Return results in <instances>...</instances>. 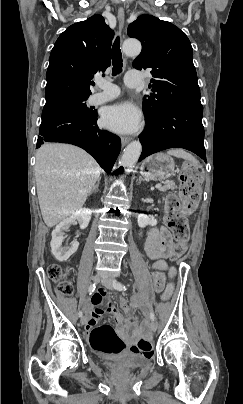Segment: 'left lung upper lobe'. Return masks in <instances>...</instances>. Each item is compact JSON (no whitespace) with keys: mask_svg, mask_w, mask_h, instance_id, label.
<instances>
[{"mask_svg":"<svg viewBox=\"0 0 243 404\" xmlns=\"http://www.w3.org/2000/svg\"><path fill=\"white\" fill-rule=\"evenodd\" d=\"M128 35L142 43L133 67L152 69L149 89L153 93L143 101L146 121L155 120L172 104H201L193 49L178 27L152 15H141L128 26Z\"/></svg>","mask_w":243,"mask_h":404,"instance_id":"left-lung-upper-lobe-1","label":"left lung upper lobe"}]
</instances>
